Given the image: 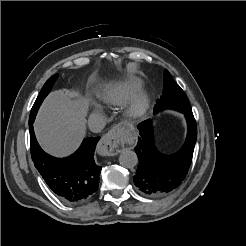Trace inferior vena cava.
I'll return each instance as SVG.
<instances>
[{
  "mask_svg": "<svg viewBox=\"0 0 246 246\" xmlns=\"http://www.w3.org/2000/svg\"><path fill=\"white\" fill-rule=\"evenodd\" d=\"M106 125L105 119L100 114H93L90 115L88 119V127L89 129L94 132L98 133L100 132Z\"/></svg>",
  "mask_w": 246,
  "mask_h": 246,
  "instance_id": "inferior-vena-cava-1",
  "label": "inferior vena cava"
}]
</instances>
